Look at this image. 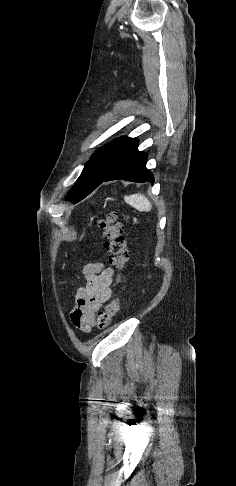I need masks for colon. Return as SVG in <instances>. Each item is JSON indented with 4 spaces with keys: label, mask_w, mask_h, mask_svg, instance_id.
Returning a JSON list of instances; mask_svg holds the SVG:
<instances>
[{
    "label": "colon",
    "mask_w": 236,
    "mask_h": 486,
    "mask_svg": "<svg viewBox=\"0 0 236 486\" xmlns=\"http://www.w3.org/2000/svg\"><path fill=\"white\" fill-rule=\"evenodd\" d=\"M99 227L105 239L108 262L117 270V280L123 279V270L129 259L126 239L123 233V225L117 221L115 212H109L99 221ZM121 301L119 297L114 298L103 311H100L96 318L97 327L105 329L112 323L113 318L119 313Z\"/></svg>",
    "instance_id": "obj_1"
}]
</instances>
